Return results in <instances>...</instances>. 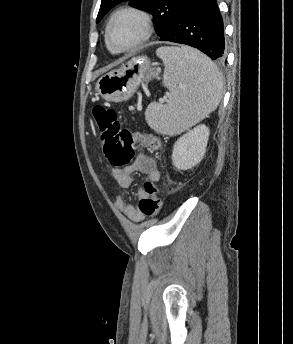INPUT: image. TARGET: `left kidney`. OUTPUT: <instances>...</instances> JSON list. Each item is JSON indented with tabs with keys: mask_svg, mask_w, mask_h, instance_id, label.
Returning a JSON list of instances; mask_svg holds the SVG:
<instances>
[{
	"mask_svg": "<svg viewBox=\"0 0 293 344\" xmlns=\"http://www.w3.org/2000/svg\"><path fill=\"white\" fill-rule=\"evenodd\" d=\"M209 139V128L200 124L183 134L174 144L172 163L178 170H188L204 157Z\"/></svg>",
	"mask_w": 293,
	"mask_h": 344,
	"instance_id": "left-kidney-1",
	"label": "left kidney"
}]
</instances>
